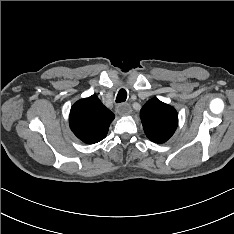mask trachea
Here are the masks:
<instances>
[{"label": "trachea", "mask_w": 234, "mask_h": 234, "mask_svg": "<svg viewBox=\"0 0 234 234\" xmlns=\"http://www.w3.org/2000/svg\"><path fill=\"white\" fill-rule=\"evenodd\" d=\"M127 98V92L125 89H120L117 97H116V103L124 102Z\"/></svg>", "instance_id": "1"}]
</instances>
